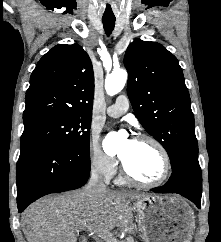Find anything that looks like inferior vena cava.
<instances>
[{"instance_id":"1","label":"inferior vena cava","mask_w":221,"mask_h":242,"mask_svg":"<svg viewBox=\"0 0 221 242\" xmlns=\"http://www.w3.org/2000/svg\"><path fill=\"white\" fill-rule=\"evenodd\" d=\"M85 190L89 193H97L106 190V185L102 181L101 171L98 168L92 169L91 177Z\"/></svg>"}]
</instances>
